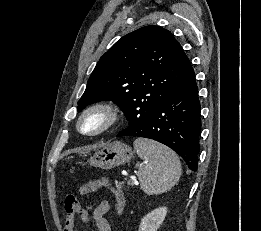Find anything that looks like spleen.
Returning <instances> with one entry per match:
<instances>
[{
	"mask_svg": "<svg viewBox=\"0 0 261 231\" xmlns=\"http://www.w3.org/2000/svg\"><path fill=\"white\" fill-rule=\"evenodd\" d=\"M133 145L138 156L144 160L137 175L146 194H161L177 184L181 164L172 150L146 138H137Z\"/></svg>",
	"mask_w": 261,
	"mask_h": 231,
	"instance_id": "1",
	"label": "spleen"
}]
</instances>
